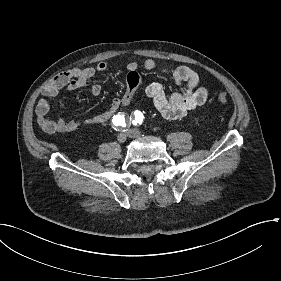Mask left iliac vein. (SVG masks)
Here are the masks:
<instances>
[{
  "instance_id": "obj_1",
  "label": "left iliac vein",
  "mask_w": 281,
  "mask_h": 281,
  "mask_svg": "<svg viewBox=\"0 0 281 281\" xmlns=\"http://www.w3.org/2000/svg\"><path fill=\"white\" fill-rule=\"evenodd\" d=\"M127 135L130 138H137V137H139L141 135V132L138 129H129L127 131Z\"/></svg>"
}]
</instances>
